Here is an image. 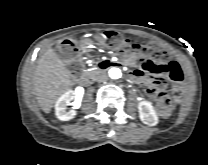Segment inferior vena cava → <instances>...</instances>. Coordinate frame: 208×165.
I'll list each match as a JSON object with an SVG mask.
<instances>
[{
  "mask_svg": "<svg viewBox=\"0 0 208 165\" xmlns=\"http://www.w3.org/2000/svg\"><path fill=\"white\" fill-rule=\"evenodd\" d=\"M95 80L98 82H104L107 80V75L104 72H101L95 77Z\"/></svg>",
  "mask_w": 208,
  "mask_h": 165,
  "instance_id": "602c4592",
  "label": "inferior vena cava"
}]
</instances>
